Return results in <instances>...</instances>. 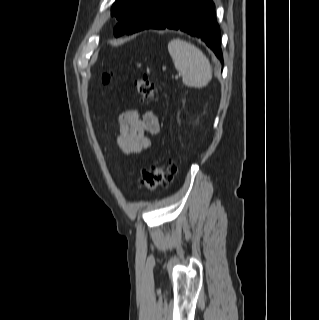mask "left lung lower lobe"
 Segmentation results:
<instances>
[{
	"label": "left lung lower lobe",
	"instance_id": "0a47b994",
	"mask_svg": "<svg viewBox=\"0 0 319 320\" xmlns=\"http://www.w3.org/2000/svg\"><path fill=\"white\" fill-rule=\"evenodd\" d=\"M145 29H174L203 42L223 62L220 28L212 0H157L128 29L132 34Z\"/></svg>",
	"mask_w": 319,
	"mask_h": 320
}]
</instances>
